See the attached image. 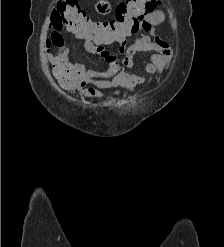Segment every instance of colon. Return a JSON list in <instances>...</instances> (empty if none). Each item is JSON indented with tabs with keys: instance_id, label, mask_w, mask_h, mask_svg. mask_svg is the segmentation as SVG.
I'll return each mask as SVG.
<instances>
[{
	"instance_id": "1",
	"label": "colon",
	"mask_w": 224,
	"mask_h": 247,
	"mask_svg": "<svg viewBox=\"0 0 224 247\" xmlns=\"http://www.w3.org/2000/svg\"><path fill=\"white\" fill-rule=\"evenodd\" d=\"M159 3V0H126L116 6L112 19L104 21L90 19L78 0H58L55 9L65 27L78 38L112 43L137 32L144 17ZM53 73L68 88L78 86L84 74L80 66L61 60L54 62Z\"/></svg>"
}]
</instances>
